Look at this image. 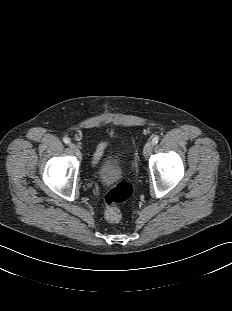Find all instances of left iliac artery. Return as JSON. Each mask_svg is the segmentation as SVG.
I'll use <instances>...</instances> for the list:
<instances>
[{"mask_svg":"<svg viewBox=\"0 0 232 311\" xmlns=\"http://www.w3.org/2000/svg\"><path fill=\"white\" fill-rule=\"evenodd\" d=\"M158 141H159V136L156 135V136L152 139V143L155 145V144L158 143Z\"/></svg>","mask_w":232,"mask_h":311,"instance_id":"1","label":"left iliac artery"}]
</instances>
